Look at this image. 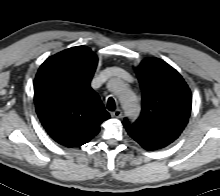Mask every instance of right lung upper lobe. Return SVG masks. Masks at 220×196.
I'll return each mask as SVG.
<instances>
[{"mask_svg":"<svg viewBox=\"0 0 220 196\" xmlns=\"http://www.w3.org/2000/svg\"><path fill=\"white\" fill-rule=\"evenodd\" d=\"M97 62L91 49L77 46L49 57L38 70L36 112L50 137L63 146L87 143L110 117L90 87Z\"/></svg>","mask_w":220,"mask_h":196,"instance_id":"right-lung-upper-lobe-1","label":"right lung upper lobe"}]
</instances>
